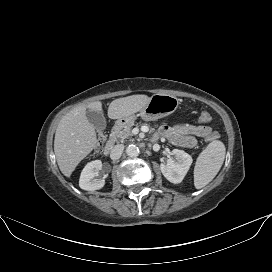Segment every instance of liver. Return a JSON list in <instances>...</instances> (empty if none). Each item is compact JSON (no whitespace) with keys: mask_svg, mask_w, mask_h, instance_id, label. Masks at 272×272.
<instances>
[{"mask_svg":"<svg viewBox=\"0 0 272 272\" xmlns=\"http://www.w3.org/2000/svg\"><path fill=\"white\" fill-rule=\"evenodd\" d=\"M147 95L137 94L113 100L108 107V117L121 119L135 114L149 102ZM102 111V102L80 105L60 120L54 139V152L61 172L70 177L77 165L97 145L94 126L88 121L86 111Z\"/></svg>","mask_w":272,"mask_h":272,"instance_id":"6515ba94","label":"liver"}]
</instances>
